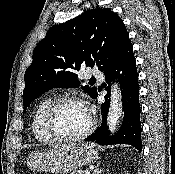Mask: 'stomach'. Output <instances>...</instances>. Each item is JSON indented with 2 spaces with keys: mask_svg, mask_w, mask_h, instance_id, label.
<instances>
[{
  "mask_svg": "<svg viewBox=\"0 0 175 174\" xmlns=\"http://www.w3.org/2000/svg\"><path fill=\"white\" fill-rule=\"evenodd\" d=\"M98 159V151L92 144L59 146L36 151L28 157V166L34 171H50L67 174L78 167L92 164Z\"/></svg>",
  "mask_w": 175,
  "mask_h": 174,
  "instance_id": "1",
  "label": "stomach"
}]
</instances>
